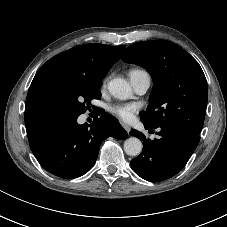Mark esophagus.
Here are the masks:
<instances>
[{"mask_svg": "<svg viewBox=\"0 0 227 227\" xmlns=\"http://www.w3.org/2000/svg\"><path fill=\"white\" fill-rule=\"evenodd\" d=\"M121 125H122L123 128L126 130V132L129 134V133H130V130H131L130 126L127 125V124H125V123H121Z\"/></svg>", "mask_w": 227, "mask_h": 227, "instance_id": "34e87169", "label": "esophagus"}]
</instances>
